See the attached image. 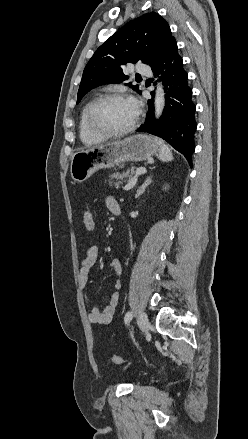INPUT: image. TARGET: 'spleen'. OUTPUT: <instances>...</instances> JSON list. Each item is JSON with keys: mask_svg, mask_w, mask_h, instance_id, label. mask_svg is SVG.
<instances>
[{"mask_svg": "<svg viewBox=\"0 0 248 439\" xmlns=\"http://www.w3.org/2000/svg\"><path fill=\"white\" fill-rule=\"evenodd\" d=\"M159 158L163 162H168L173 160V154L168 146L163 145L159 152Z\"/></svg>", "mask_w": 248, "mask_h": 439, "instance_id": "obj_1", "label": "spleen"}]
</instances>
